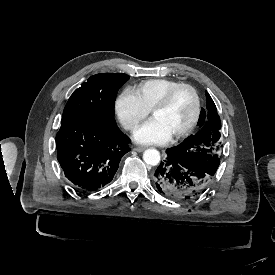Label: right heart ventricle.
I'll use <instances>...</instances> for the list:
<instances>
[{
  "mask_svg": "<svg viewBox=\"0 0 275 275\" xmlns=\"http://www.w3.org/2000/svg\"><path fill=\"white\" fill-rule=\"evenodd\" d=\"M177 84L166 78H153L140 82L134 87V92L143 105L151 111L167 89Z\"/></svg>",
  "mask_w": 275,
  "mask_h": 275,
  "instance_id": "obj_1",
  "label": "right heart ventricle"
}]
</instances>
